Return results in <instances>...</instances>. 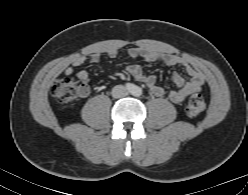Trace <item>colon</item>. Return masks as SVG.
I'll return each instance as SVG.
<instances>
[{
  "mask_svg": "<svg viewBox=\"0 0 248 195\" xmlns=\"http://www.w3.org/2000/svg\"><path fill=\"white\" fill-rule=\"evenodd\" d=\"M85 85H81L74 77L65 76L54 81L51 86V95L62 105L72 104L83 92ZM205 107L202 95L193 94L187 104L186 112L189 116L200 114Z\"/></svg>",
  "mask_w": 248,
  "mask_h": 195,
  "instance_id": "1",
  "label": "colon"
}]
</instances>
